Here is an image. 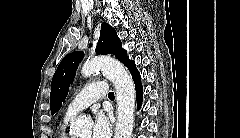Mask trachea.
<instances>
[{
  "mask_svg": "<svg viewBox=\"0 0 240 138\" xmlns=\"http://www.w3.org/2000/svg\"><path fill=\"white\" fill-rule=\"evenodd\" d=\"M109 99H114V92H109L108 94Z\"/></svg>",
  "mask_w": 240,
  "mask_h": 138,
  "instance_id": "trachea-1",
  "label": "trachea"
}]
</instances>
